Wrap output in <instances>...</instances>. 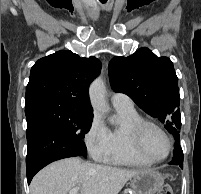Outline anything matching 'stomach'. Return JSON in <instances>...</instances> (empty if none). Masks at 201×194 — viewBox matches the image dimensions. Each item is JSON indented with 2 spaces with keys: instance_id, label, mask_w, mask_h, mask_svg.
Instances as JSON below:
<instances>
[{
  "instance_id": "0dacf381",
  "label": "stomach",
  "mask_w": 201,
  "mask_h": 194,
  "mask_svg": "<svg viewBox=\"0 0 201 194\" xmlns=\"http://www.w3.org/2000/svg\"><path fill=\"white\" fill-rule=\"evenodd\" d=\"M164 177L157 171L144 169L131 180L134 194H155L163 185Z\"/></svg>"
}]
</instances>
